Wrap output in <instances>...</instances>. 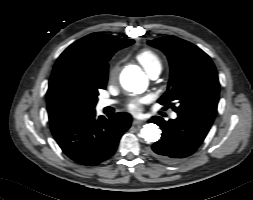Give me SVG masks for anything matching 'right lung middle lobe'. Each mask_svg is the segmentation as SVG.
I'll return each mask as SVG.
<instances>
[{
    "mask_svg": "<svg viewBox=\"0 0 253 200\" xmlns=\"http://www.w3.org/2000/svg\"><path fill=\"white\" fill-rule=\"evenodd\" d=\"M105 85L97 80L70 77L67 80L66 96L74 104L93 111L97 103L98 90Z\"/></svg>",
    "mask_w": 253,
    "mask_h": 200,
    "instance_id": "right-lung-middle-lobe-1",
    "label": "right lung middle lobe"
}]
</instances>
